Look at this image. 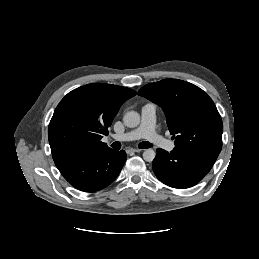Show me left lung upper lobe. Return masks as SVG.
Returning <instances> with one entry per match:
<instances>
[{
  "mask_svg": "<svg viewBox=\"0 0 259 259\" xmlns=\"http://www.w3.org/2000/svg\"><path fill=\"white\" fill-rule=\"evenodd\" d=\"M138 95L165 112L177 150L220 153L223 123L212 99L199 87L178 79H164L142 87Z\"/></svg>",
  "mask_w": 259,
  "mask_h": 259,
  "instance_id": "left-lung-upper-lobe-1",
  "label": "left lung upper lobe"
}]
</instances>
